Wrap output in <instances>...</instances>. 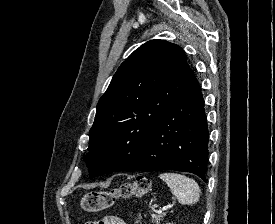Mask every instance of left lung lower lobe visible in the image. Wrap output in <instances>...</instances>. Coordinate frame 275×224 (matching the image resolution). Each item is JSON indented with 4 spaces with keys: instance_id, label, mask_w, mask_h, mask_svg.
<instances>
[{
    "instance_id": "left-lung-lower-lobe-1",
    "label": "left lung lower lobe",
    "mask_w": 275,
    "mask_h": 224,
    "mask_svg": "<svg viewBox=\"0 0 275 224\" xmlns=\"http://www.w3.org/2000/svg\"><path fill=\"white\" fill-rule=\"evenodd\" d=\"M209 131L196 77L154 125L128 170H175L205 181Z\"/></svg>"
}]
</instances>
